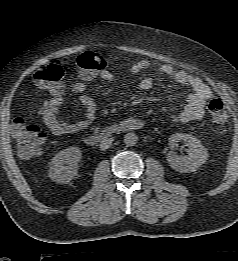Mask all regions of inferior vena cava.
<instances>
[{
  "mask_svg": "<svg viewBox=\"0 0 238 261\" xmlns=\"http://www.w3.org/2000/svg\"><path fill=\"white\" fill-rule=\"evenodd\" d=\"M112 141V138H104L99 145L100 150L105 151L108 149L111 146Z\"/></svg>",
  "mask_w": 238,
  "mask_h": 261,
  "instance_id": "1",
  "label": "inferior vena cava"
}]
</instances>
